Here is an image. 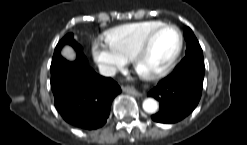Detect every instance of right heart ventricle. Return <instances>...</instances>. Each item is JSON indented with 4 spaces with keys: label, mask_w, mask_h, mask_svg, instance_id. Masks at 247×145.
I'll list each match as a JSON object with an SVG mask.
<instances>
[{
    "label": "right heart ventricle",
    "mask_w": 247,
    "mask_h": 145,
    "mask_svg": "<svg viewBox=\"0 0 247 145\" xmlns=\"http://www.w3.org/2000/svg\"><path fill=\"white\" fill-rule=\"evenodd\" d=\"M162 24L161 21L150 20L120 25L108 30L106 39L124 58L129 59L148 33Z\"/></svg>",
    "instance_id": "1"
}]
</instances>
